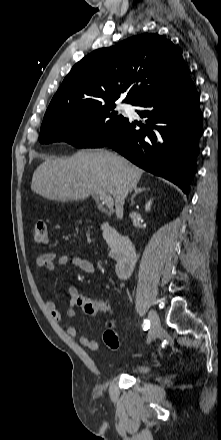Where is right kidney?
<instances>
[{
    "instance_id": "ca27d5eb",
    "label": "right kidney",
    "mask_w": 221,
    "mask_h": 440,
    "mask_svg": "<svg viewBox=\"0 0 221 440\" xmlns=\"http://www.w3.org/2000/svg\"><path fill=\"white\" fill-rule=\"evenodd\" d=\"M151 204H152V201H151V200L148 201V203H146V205H145V210H146V211H149V210H150Z\"/></svg>"
}]
</instances>
